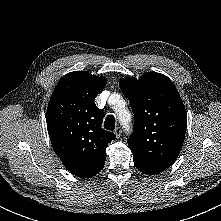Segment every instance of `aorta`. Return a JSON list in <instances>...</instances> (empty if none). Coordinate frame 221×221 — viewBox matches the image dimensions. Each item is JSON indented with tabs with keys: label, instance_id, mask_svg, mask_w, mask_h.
Returning <instances> with one entry per match:
<instances>
[{
	"label": "aorta",
	"instance_id": "obj_1",
	"mask_svg": "<svg viewBox=\"0 0 221 221\" xmlns=\"http://www.w3.org/2000/svg\"><path fill=\"white\" fill-rule=\"evenodd\" d=\"M110 99H120V96L118 94H112ZM117 115H118L120 122L126 126L128 123V122H126V118L130 119L129 111L123 109V110L119 111Z\"/></svg>",
	"mask_w": 221,
	"mask_h": 221
}]
</instances>
